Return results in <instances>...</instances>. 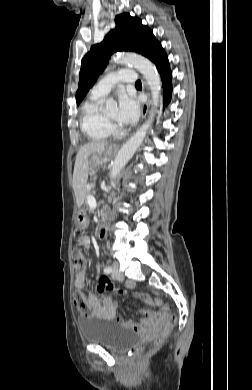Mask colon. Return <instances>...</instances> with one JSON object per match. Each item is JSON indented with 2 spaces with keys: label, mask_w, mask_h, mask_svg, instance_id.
<instances>
[{
  "label": "colon",
  "mask_w": 252,
  "mask_h": 390,
  "mask_svg": "<svg viewBox=\"0 0 252 390\" xmlns=\"http://www.w3.org/2000/svg\"><path fill=\"white\" fill-rule=\"evenodd\" d=\"M72 263H73V270L76 274H78L84 270V267L86 264V257H85V254H84L82 248H81V244L79 246H76L72 250ZM118 292H119V294L126 293V291L123 289H120ZM132 298L135 300H142V301H146L149 299V297L147 295L142 294V293H133ZM74 302L82 314H84L85 316L92 315V311L87 304V296L83 292H81L79 290L75 291ZM163 310L166 314V319H165V322L162 326V329L158 333H156L153 337V340L151 343L152 349L157 348L163 344L170 329L173 328L177 322V316L175 313L172 312V310L169 306L164 307Z\"/></svg>",
  "instance_id": "colon-1"
}]
</instances>
